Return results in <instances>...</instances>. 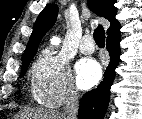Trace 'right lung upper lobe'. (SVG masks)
<instances>
[{
	"mask_svg": "<svg viewBox=\"0 0 142 119\" xmlns=\"http://www.w3.org/2000/svg\"><path fill=\"white\" fill-rule=\"evenodd\" d=\"M115 3L116 0H88V6L94 13L110 21L111 25L107 30L108 36L120 33V23L115 18L117 13V8L114 6ZM57 13V5L50 4L39 14L34 24L29 42L26 46L22 64L33 58L40 40L54 25Z\"/></svg>",
	"mask_w": 142,
	"mask_h": 119,
	"instance_id": "1",
	"label": "right lung upper lobe"
}]
</instances>
